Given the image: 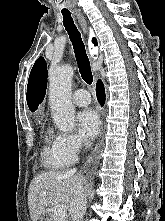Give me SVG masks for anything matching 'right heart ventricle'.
<instances>
[{"label":"right heart ventricle","instance_id":"e07e8e85","mask_svg":"<svg viewBox=\"0 0 165 221\" xmlns=\"http://www.w3.org/2000/svg\"><path fill=\"white\" fill-rule=\"evenodd\" d=\"M43 160L45 166L53 170L65 169L73 162L59 151L57 137L50 132L45 135Z\"/></svg>","mask_w":165,"mask_h":221}]
</instances>
